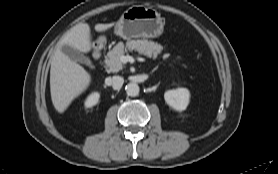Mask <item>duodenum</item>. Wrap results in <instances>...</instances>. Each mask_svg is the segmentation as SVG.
Instances as JSON below:
<instances>
[{"instance_id": "410a0bca", "label": "duodenum", "mask_w": 278, "mask_h": 174, "mask_svg": "<svg viewBox=\"0 0 278 174\" xmlns=\"http://www.w3.org/2000/svg\"><path fill=\"white\" fill-rule=\"evenodd\" d=\"M103 49V42L101 40H97L94 45L93 57L95 59H99L101 56V52Z\"/></svg>"}]
</instances>
